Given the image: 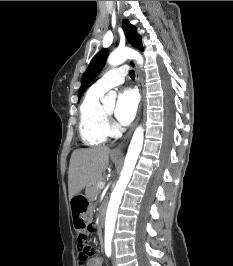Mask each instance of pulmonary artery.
Returning a JSON list of instances; mask_svg holds the SVG:
<instances>
[{
  "instance_id": "pulmonary-artery-1",
  "label": "pulmonary artery",
  "mask_w": 233,
  "mask_h": 266,
  "mask_svg": "<svg viewBox=\"0 0 233 266\" xmlns=\"http://www.w3.org/2000/svg\"><path fill=\"white\" fill-rule=\"evenodd\" d=\"M126 75V66L113 68L99 78L94 85L101 90L108 91L109 89L122 84Z\"/></svg>"
}]
</instances>
